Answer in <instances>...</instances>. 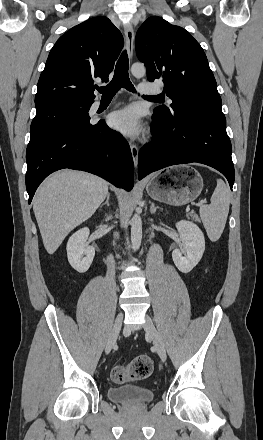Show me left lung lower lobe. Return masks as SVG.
<instances>
[{
  "label": "left lung lower lobe",
  "instance_id": "0a47b994",
  "mask_svg": "<svg viewBox=\"0 0 263 440\" xmlns=\"http://www.w3.org/2000/svg\"><path fill=\"white\" fill-rule=\"evenodd\" d=\"M153 141L138 157V178L167 166L198 162L220 171L232 189V147L221 111L180 113L166 119L154 113Z\"/></svg>",
  "mask_w": 263,
  "mask_h": 440
}]
</instances>
